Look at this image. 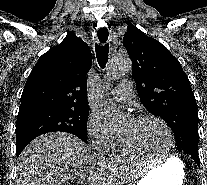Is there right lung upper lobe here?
<instances>
[{
	"label": "right lung upper lobe",
	"instance_id": "obj_1",
	"mask_svg": "<svg viewBox=\"0 0 207 185\" xmlns=\"http://www.w3.org/2000/svg\"><path fill=\"white\" fill-rule=\"evenodd\" d=\"M89 46L73 32L43 54L31 71L21 96L19 111L57 108L89 111L87 73L91 68Z\"/></svg>",
	"mask_w": 207,
	"mask_h": 185
}]
</instances>
